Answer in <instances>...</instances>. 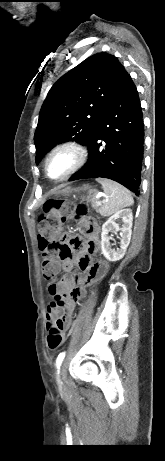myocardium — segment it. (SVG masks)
I'll use <instances>...</instances> for the list:
<instances>
[{"mask_svg": "<svg viewBox=\"0 0 165 461\" xmlns=\"http://www.w3.org/2000/svg\"><path fill=\"white\" fill-rule=\"evenodd\" d=\"M58 154H67L70 157V163L64 173L53 178L49 175L48 165L50 160ZM87 150L79 142L74 140L62 141L54 145L46 154L43 162V170L46 178L52 182H61L79 171L87 161Z\"/></svg>", "mask_w": 165, "mask_h": 461, "instance_id": "obj_1", "label": "myocardium"}]
</instances>
